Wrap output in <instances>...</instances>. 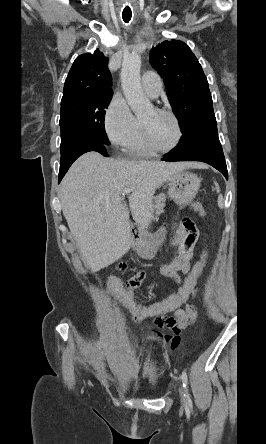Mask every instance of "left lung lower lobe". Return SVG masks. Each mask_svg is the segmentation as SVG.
<instances>
[{"label":"left lung lower lobe","mask_w":266,"mask_h":444,"mask_svg":"<svg viewBox=\"0 0 266 444\" xmlns=\"http://www.w3.org/2000/svg\"><path fill=\"white\" fill-rule=\"evenodd\" d=\"M178 146L166 154L164 161L195 160L210 164L228 179L227 166L218 138L214 114L199 119L187 128Z\"/></svg>","instance_id":"obj_1"}]
</instances>
